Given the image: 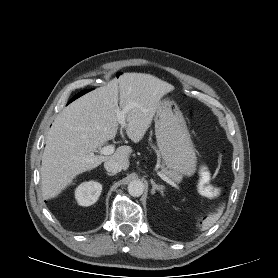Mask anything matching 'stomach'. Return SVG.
Returning a JSON list of instances; mask_svg holds the SVG:
<instances>
[{"label": "stomach", "instance_id": "1", "mask_svg": "<svg viewBox=\"0 0 278 278\" xmlns=\"http://www.w3.org/2000/svg\"><path fill=\"white\" fill-rule=\"evenodd\" d=\"M155 135L166 167L181 175H194L197 166L194 145L182 112L175 102L168 99L159 102Z\"/></svg>", "mask_w": 278, "mask_h": 278}]
</instances>
